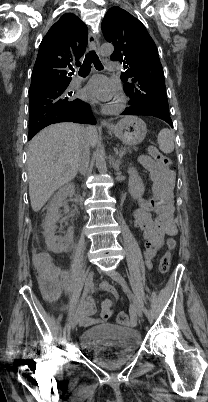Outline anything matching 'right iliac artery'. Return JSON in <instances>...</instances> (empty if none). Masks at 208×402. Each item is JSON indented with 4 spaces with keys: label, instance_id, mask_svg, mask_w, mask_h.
I'll list each match as a JSON object with an SVG mask.
<instances>
[{
    "label": "right iliac artery",
    "instance_id": "82829eb1",
    "mask_svg": "<svg viewBox=\"0 0 208 402\" xmlns=\"http://www.w3.org/2000/svg\"><path fill=\"white\" fill-rule=\"evenodd\" d=\"M88 291H89L88 289H84V291H83V293H82V295H81V298H80V300H79V303H78V306H77V310H78L79 307L82 305V303H83V301H84V299H85V297H86Z\"/></svg>",
    "mask_w": 208,
    "mask_h": 402
}]
</instances>
